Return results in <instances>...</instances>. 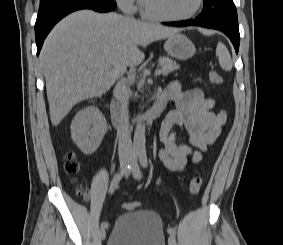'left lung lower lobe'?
Segmentation results:
<instances>
[{"label": "left lung lower lobe", "mask_w": 283, "mask_h": 245, "mask_svg": "<svg viewBox=\"0 0 283 245\" xmlns=\"http://www.w3.org/2000/svg\"><path fill=\"white\" fill-rule=\"evenodd\" d=\"M164 24L168 25V26H178V27L197 25V26H201V27L220 30L229 37V39L231 40V42L233 43V45L235 47L236 53H238L239 43H240L239 30H233L231 28H228L226 26L219 25V24L199 22L197 19L180 21V22H169V23H164Z\"/></svg>", "instance_id": "0a47b994"}]
</instances>
